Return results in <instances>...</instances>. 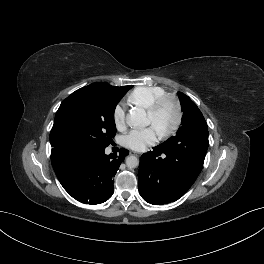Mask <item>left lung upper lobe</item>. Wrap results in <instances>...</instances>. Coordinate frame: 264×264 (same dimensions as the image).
Masks as SVG:
<instances>
[{"instance_id": "1", "label": "left lung upper lobe", "mask_w": 264, "mask_h": 264, "mask_svg": "<svg viewBox=\"0 0 264 264\" xmlns=\"http://www.w3.org/2000/svg\"><path fill=\"white\" fill-rule=\"evenodd\" d=\"M181 102L183 116L182 126L179 128L176 136L169 138L162 143L166 147L180 146L185 144L186 140H196L202 135H208L206 121L198 109L197 105L185 94L178 92Z\"/></svg>"}]
</instances>
